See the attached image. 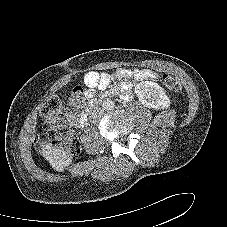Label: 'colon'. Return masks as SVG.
<instances>
[{
    "label": "colon",
    "mask_w": 227,
    "mask_h": 227,
    "mask_svg": "<svg viewBox=\"0 0 227 227\" xmlns=\"http://www.w3.org/2000/svg\"><path fill=\"white\" fill-rule=\"evenodd\" d=\"M164 85L173 92L181 91V84L175 76L166 74L163 77ZM86 93L82 87L76 86L70 94V101L79 104ZM40 116L44 123L45 135L37 136L36 143L41 145L43 140L75 155L80 151V143L66 119V109L57 96L49 97L41 107Z\"/></svg>",
    "instance_id": "5ec220e1"
}]
</instances>
